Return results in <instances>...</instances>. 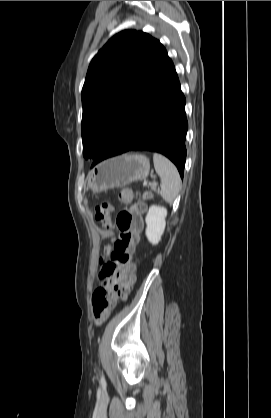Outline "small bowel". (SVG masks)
<instances>
[{
	"mask_svg": "<svg viewBox=\"0 0 271 418\" xmlns=\"http://www.w3.org/2000/svg\"><path fill=\"white\" fill-rule=\"evenodd\" d=\"M112 282H113L112 278H106L104 279L103 286H106L107 288H111Z\"/></svg>",
	"mask_w": 271,
	"mask_h": 418,
	"instance_id": "1",
	"label": "small bowel"
}]
</instances>
